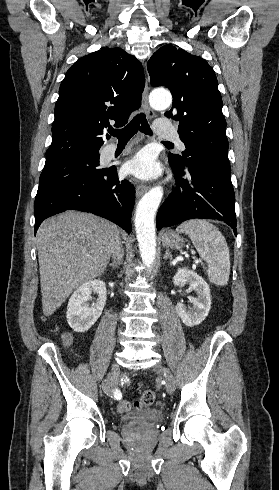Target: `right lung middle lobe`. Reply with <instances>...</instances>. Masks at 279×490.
<instances>
[{
    "label": "right lung middle lobe",
    "instance_id": "right-lung-middle-lobe-1",
    "mask_svg": "<svg viewBox=\"0 0 279 490\" xmlns=\"http://www.w3.org/2000/svg\"><path fill=\"white\" fill-rule=\"evenodd\" d=\"M99 156L73 158L65 161L45 164L40 175L39 185L58 183L74 178L94 177L107 169H97Z\"/></svg>",
    "mask_w": 279,
    "mask_h": 490
}]
</instances>
